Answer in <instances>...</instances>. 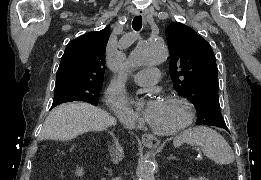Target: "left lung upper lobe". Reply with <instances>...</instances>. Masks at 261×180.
<instances>
[{
	"mask_svg": "<svg viewBox=\"0 0 261 180\" xmlns=\"http://www.w3.org/2000/svg\"><path fill=\"white\" fill-rule=\"evenodd\" d=\"M166 39L174 89L194 104L196 124L226 127L220 112L217 65L209 43L181 23L168 25Z\"/></svg>",
	"mask_w": 261,
	"mask_h": 180,
	"instance_id": "5c2ea615",
	"label": "left lung upper lobe"
}]
</instances>
